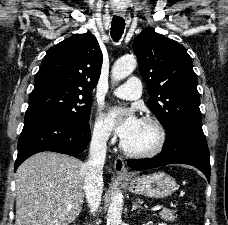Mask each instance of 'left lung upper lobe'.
I'll list each match as a JSON object with an SVG mask.
<instances>
[{
	"mask_svg": "<svg viewBox=\"0 0 228 225\" xmlns=\"http://www.w3.org/2000/svg\"><path fill=\"white\" fill-rule=\"evenodd\" d=\"M133 49L150 95L147 105L166 131L180 124L201 127L197 77L186 49L152 28L135 38Z\"/></svg>",
	"mask_w": 228,
	"mask_h": 225,
	"instance_id": "left-lung-upper-lobe-1",
	"label": "left lung upper lobe"
}]
</instances>
